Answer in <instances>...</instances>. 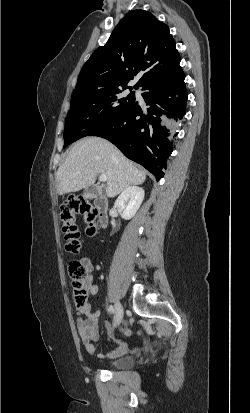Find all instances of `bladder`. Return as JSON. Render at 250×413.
<instances>
[{
    "label": "bladder",
    "mask_w": 250,
    "mask_h": 413,
    "mask_svg": "<svg viewBox=\"0 0 250 413\" xmlns=\"http://www.w3.org/2000/svg\"><path fill=\"white\" fill-rule=\"evenodd\" d=\"M134 364V359L131 356H121L110 361L107 366L110 369H127L131 368Z\"/></svg>",
    "instance_id": "1"
}]
</instances>
